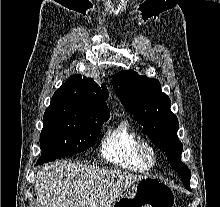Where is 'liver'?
Instances as JSON below:
<instances>
[{
	"label": "liver",
	"mask_w": 220,
	"mask_h": 207,
	"mask_svg": "<svg viewBox=\"0 0 220 207\" xmlns=\"http://www.w3.org/2000/svg\"><path fill=\"white\" fill-rule=\"evenodd\" d=\"M143 176L112 168L55 161L36 174L40 207H111Z\"/></svg>",
	"instance_id": "obj_1"
}]
</instances>
